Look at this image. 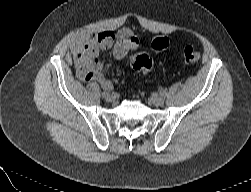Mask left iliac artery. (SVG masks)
<instances>
[{
    "instance_id": "1",
    "label": "left iliac artery",
    "mask_w": 251,
    "mask_h": 192,
    "mask_svg": "<svg viewBox=\"0 0 251 192\" xmlns=\"http://www.w3.org/2000/svg\"><path fill=\"white\" fill-rule=\"evenodd\" d=\"M160 95L164 97L166 95V92L165 91H160Z\"/></svg>"
}]
</instances>
